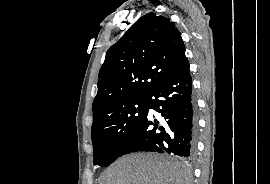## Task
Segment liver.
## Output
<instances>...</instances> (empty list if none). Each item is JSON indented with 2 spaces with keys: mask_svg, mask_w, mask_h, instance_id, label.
Returning <instances> with one entry per match:
<instances>
[{
  "mask_svg": "<svg viewBox=\"0 0 270 184\" xmlns=\"http://www.w3.org/2000/svg\"><path fill=\"white\" fill-rule=\"evenodd\" d=\"M190 171L183 163L138 153L115 161L101 175L99 184H189Z\"/></svg>",
  "mask_w": 270,
  "mask_h": 184,
  "instance_id": "1",
  "label": "liver"
}]
</instances>
